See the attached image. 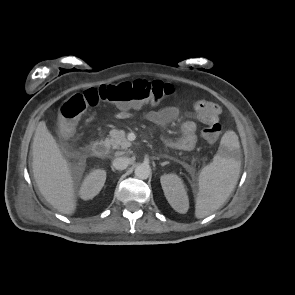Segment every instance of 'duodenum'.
I'll use <instances>...</instances> for the list:
<instances>
[{
    "label": "duodenum",
    "instance_id": "obj_1",
    "mask_svg": "<svg viewBox=\"0 0 295 295\" xmlns=\"http://www.w3.org/2000/svg\"><path fill=\"white\" fill-rule=\"evenodd\" d=\"M108 150L109 146L106 141H97L91 145V151L97 157L105 156Z\"/></svg>",
    "mask_w": 295,
    "mask_h": 295
}]
</instances>
